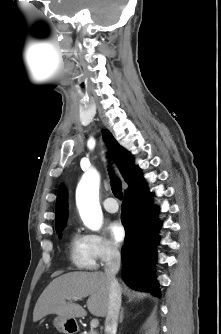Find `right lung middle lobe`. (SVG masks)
<instances>
[{
    "mask_svg": "<svg viewBox=\"0 0 221 334\" xmlns=\"http://www.w3.org/2000/svg\"><path fill=\"white\" fill-rule=\"evenodd\" d=\"M63 230V228L56 229L57 233H60Z\"/></svg>",
    "mask_w": 221,
    "mask_h": 334,
    "instance_id": "dd1d6c3e",
    "label": "right lung middle lobe"
}]
</instances>
